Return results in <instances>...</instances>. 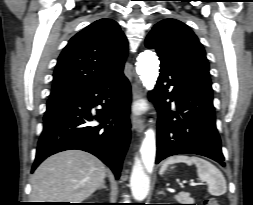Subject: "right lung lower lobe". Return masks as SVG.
<instances>
[{
	"label": "right lung lower lobe",
	"mask_w": 253,
	"mask_h": 205,
	"mask_svg": "<svg viewBox=\"0 0 253 205\" xmlns=\"http://www.w3.org/2000/svg\"><path fill=\"white\" fill-rule=\"evenodd\" d=\"M130 102L131 88L123 73L93 87L50 97L32 171L52 154L79 149L97 156L118 179L130 141ZM97 105L106 109L93 114Z\"/></svg>",
	"instance_id": "right-lung-lower-lobe-1"
}]
</instances>
